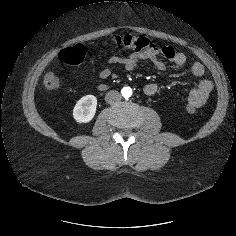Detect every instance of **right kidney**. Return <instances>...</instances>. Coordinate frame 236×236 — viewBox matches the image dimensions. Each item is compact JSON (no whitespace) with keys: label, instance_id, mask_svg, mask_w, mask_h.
<instances>
[{"label":"right kidney","instance_id":"obj_1","mask_svg":"<svg viewBox=\"0 0 236 236\" xmlns=\"http://www.w3.org/2000/svg\"><path fill=\"white\" fill-rule=\"evenodd\" d=\"M96 107L97 98L94 95H86L76 103L73 109V118L78 123H88L93 119Z\"/></svg>","mask_w":236,"mask_h":236}]
</instances>
